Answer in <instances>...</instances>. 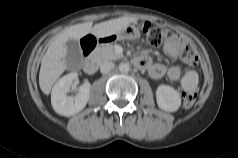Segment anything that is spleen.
Wrapping results in <instances>:
<instances>
[{
  "mask_svg": "<svg viewBox=\"0 0 238 158\" xmlns=\"http://www.w3.org/2000/svg\"><path fill=\"white\" fill-rule=\"evenodd\" d=\"M198 74L196 71H189L185 74V76L182 78L181 83L182 86L189 90V91H193L196 89L197 85H198Z\"/></svg>",
  "mask_w": 238,
  "mask_h": 158,
  "instance_id": "spleen-1",
  "label": "spleen"
}]
</instances>
